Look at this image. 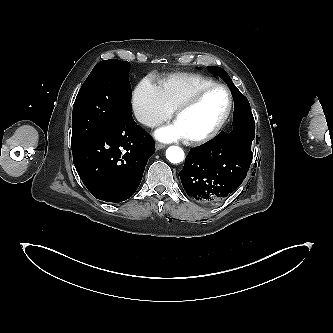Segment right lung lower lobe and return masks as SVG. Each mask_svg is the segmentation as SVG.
<instances>
[{
  "instance_id": "98d812e1",
  "label": "right lung lower lobe",
  "mask_w": 333,
  "mask_h": 333,
  "mask_svg": "<svg viewBox=\"0 0 333 333\" xmlns=\"http://www.w3.org/2000/svg\"><path fill=\"white\" fill-rule=\"evenodd\" d=\"M155 144L131 113L85 144L73 148L75 168L97 199L118 203L137 190Z\"/></svg>"
}]
</instances>
